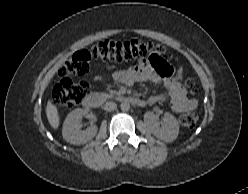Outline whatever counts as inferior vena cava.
<instances>
[{"label":"inferior vena cava","instance_id":"602c4592","mask_svg":"<svg viewBox=\"0 0 248 194\" xmlns=\"http://www.w3.org/2000/svg\"><path fill=\"white\" fill-rule=\"evenodd\" d=\"M117 108V104L115 102H106L104 105V109L106 111H113Z\"/></svg>","mask_w":248,"mask_h":194}]
</instances>
